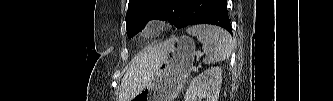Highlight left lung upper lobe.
I'll return each mask as SVG.
<instances>
[{"label": "left lung upper lobe", "mask_w": 333, "mask_h": 101, "mask_svg": "<svg viewBox=\"0 0 333 101\" xmlns=\"http://www.w3.org/2000/svg\"><path fill=\"white\" fill-rule=\"evenodd\" d=\"M184 10L182 0H129L126 14L128 37L138 33L149 20L157 17L168 18L171 24L181 23Z\"/></svg>", "instance_id": "1"}]
</instances>
